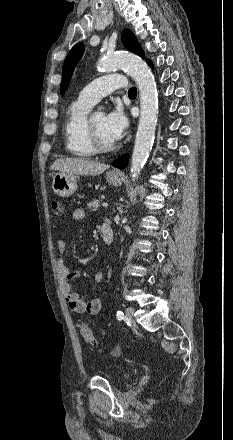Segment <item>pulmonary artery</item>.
Returning a JSON list of instances; mask_svg holds the SVG:
<instances>
[{"label": "pulmonary artery", "instance_id": "1", "mask_svg": "<svg viewBox=\"0 0 233 440\" xmlns=\"http://www.w3.org/2000/svg\"><path fill=\"white\" fill-rule=\"evenodd\" d=\"M126 78L120 74H109L90 82L79 94L78 99L94 105L102 97L116 89L126 88Z\"/></svg>", "mask_w": 233, "mask_h": 440}]
</instances>
